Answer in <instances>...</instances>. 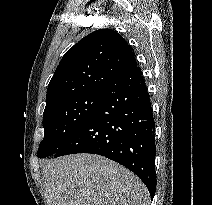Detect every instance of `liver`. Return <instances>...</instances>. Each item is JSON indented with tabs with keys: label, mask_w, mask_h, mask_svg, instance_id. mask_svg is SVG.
<instances>
[{
	"label": "liver",
	"mask_w": 212,
	"mask_h": 205,
	"mask_svg": "<svg viewBox=\"0 0 212 205\" xmlns=\"http://www.w3.org/2000/svg\"><path fill=\"white\" fill-rule=\"evenodd\" d=\"M42 176L48 205H146L149 196L135 174L95 154L47 160Z\"/></svg>",
	"instance_id": "liver-1"
}]
</instances>
